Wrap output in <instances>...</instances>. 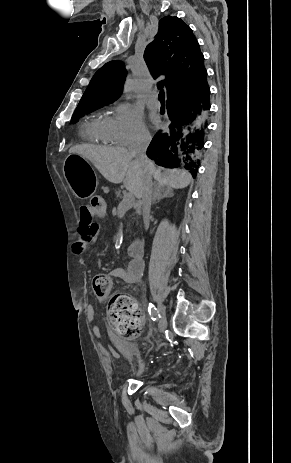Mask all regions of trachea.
Listing matches in <instances>:
<instances>
[{"label": "trachea", "instance_id": "obj_1", "mask_svg": "<svg viewBox=\"0 0 291 463\" xmlns=\"http://www.w3.org/2000/svg\"><path fill=\"white\" fill-rule=\"evenodd\" d=\"M158 98H159L160 102H164V100H165L164 91H160Z\"/></svg>", "mask_w": 291, "mask_h": 463}]
</instances>
